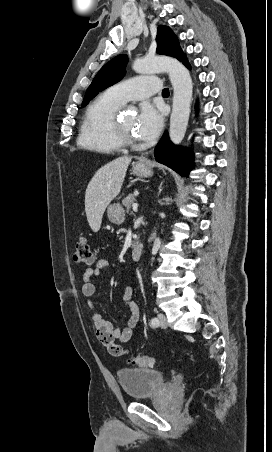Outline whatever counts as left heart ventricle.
<instances>
[{
	"label": "left heart ventricle",
	"instance_id": "left-heart-ventricle-1",
	"mask_svg": "<svg viewBox=\"0 0 272 452\" xmlns=\"http://www.w3.org/2000/svg\"><path fill=\"white\" fill-rule=\"evenodd\" d=\"M122 128L128 134L130 138L133 140L137 139L136 131H135V119L131 116H124L119 120Z\"/></svg>",
	"mask_w": 272,
	"mask_h": 452
}]
</instances>
